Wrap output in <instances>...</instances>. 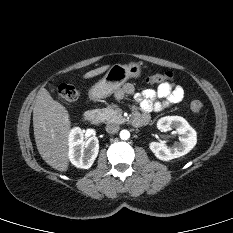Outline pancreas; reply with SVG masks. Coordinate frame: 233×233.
Returning <instances> with one entry per match:
<instances>
[{
  "label": "pancreas",
  "instance_id": "obj_1",
  "mask_svg": "<svg viewBox=\"0 0 233 233\" xmlns=\"http://www.w3.org/2000/svg\"><path fill=\"white\" fill-rule=\"evenodd\" d=\"M95 113L100 117L102 121L106 123H122L124 121L121 111L114 110L109 107L103 109H96Z\"/></svg>",
  "mask_w": 233,
  "mask_h": 233
}]
</instances>
